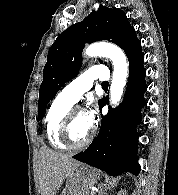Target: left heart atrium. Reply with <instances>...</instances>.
<instances>
[{"instance_id": "39dd6f15", "label": "left heart atrium", "mask_w": 178, "mask_h": 195, "mask_svg": "<svg viewBox=\"0 0 178 195\" xmlns=\"http://www.w3.org/2000/svg\"><path fill=\"white\" fill-rule=\"evenodd\" d=\"M85 117L87 119L88 124L93 127V125L95 123V119H96L95 109L91 108L90 110L85 112Z\"/></svg>"}]
</instances>
